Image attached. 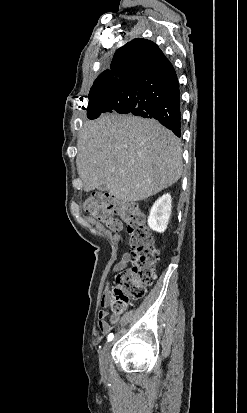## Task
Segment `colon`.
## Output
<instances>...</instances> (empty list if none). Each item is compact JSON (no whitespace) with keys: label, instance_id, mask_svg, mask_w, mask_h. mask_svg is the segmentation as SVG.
Masks as SVG:
<instances>
[{"label":"colon","instance_id":"1","mask_svg":"<svg viewBox=\"0 0 247 413\" xmlns=\"http://www.w3.org/2000/svg\"><path fill=\"white\" fill-rule=\"evenodd\" d=\"M84 207L88 214L115 233H119L125 223L133 264L120 272L110 304L111 312L122 313L145 296L147 287L155 279L158 256L153 234L146 228L138 204L121 203L109 195H95Z\"/></svg>","mask_w":247,"mask_h":413}]
</instances>
